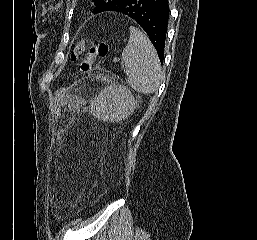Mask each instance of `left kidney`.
<instances>
[{
  "mask_svg": "<svg viewBox=\"0 0 257 240\" xmlns=\"http://www.w3.org/2000/svg\"><path fill=\"white\" fill-rule=\"evenodd\" d=\"M135 99L123 86H111L104 89L96 98V115L105 121H120L133 111Z\"/></svg>",
  "mask_w": 257,
  "mask_h": 240,
  "instance_id": "obj_1",
  "label": "left kidney"
}]
</instances>
